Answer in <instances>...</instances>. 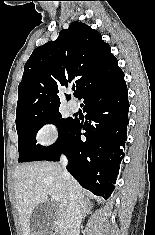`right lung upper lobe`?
Returning <instances> with one entry per match:
<instances>
[{"mask_svg": "<svg viewBox=\"0 0 155 235\" xmlns=\"http://www.w3.org/2000/svg\"><path fill=\"white\" fill-rule=\"evenodd\" d=\"M101 34L81 22L61 30L55 41L36 48L24 66L16 117L59 108L58 88L75 81L78 97L89 85L120 70ZM70 99L69 95H66Z\"/></svg>", "mask_w": 155, "mask_h": 235, "instance_id": "right-lung-upper-lobe-1", "label": "right lung upper lobe"}]
</instances>
